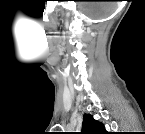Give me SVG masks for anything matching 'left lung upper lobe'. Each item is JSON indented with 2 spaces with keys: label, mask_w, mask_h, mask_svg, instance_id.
<instances>
[{
  "label": "left lung upper lobe",
  "mask_w": 145,
  "mask_h": 134,
  "mask_svg": "<svg viewBox=\"0 0 145 134\" xmlns=\"http://www.w3.org/2000/svg\"><path fill=\"white\" fill-rule=\"evenodd\" d=\"M107 133L103 124L94 120L90 114H85L82 123L81 134H105Z\"/></svg>",
  "instance_id": "5c2ea615"
}]
</instances>
